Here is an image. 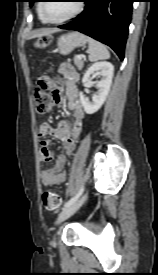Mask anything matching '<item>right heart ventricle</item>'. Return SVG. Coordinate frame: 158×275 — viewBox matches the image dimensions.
Listing matches in <instances>:
<instances>
[{
	"label": "right heart ventricle",
	"instance_id": "e07e8e85",
	"mask_svg": "<svg viewBox=\"0 0 158 275\" xmlns=\"http://www.w3.org/2000/svg\"><path fill=\"white\" fill-rule=\"evenodd\" d=\"M40 5L41 4H38L37 5V12H38V16H39V19H40V21L42 22V23H46V21L42 18V16H41V13H40Z\"/></svg>",
	"mask_w": 158,
	"mask_h": 275
}]
</instances>
